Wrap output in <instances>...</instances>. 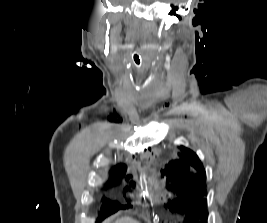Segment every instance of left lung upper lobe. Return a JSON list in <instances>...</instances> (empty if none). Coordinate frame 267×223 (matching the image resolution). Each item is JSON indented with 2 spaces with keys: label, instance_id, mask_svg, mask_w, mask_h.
Returning <instances> with one entry per match:
<instances>
[{
  "label": "left lung upper lobe",
  "instance_id": "5c2ea615",
  "mask_svg": "<svg viewBox=\"0 0 267 223\" xmlns=\"http://www.w3.org/2000/svg\"><path fill=\"white\" fill-rule=\"evenodd\" d=\"M181 148L182 152L161 170L162 175L169 176L171 185L167 184L168 189L177 196L169 206H165L163 214H185L191 219L197 218L196 223L199 220L207 223L205 169L196 153L184 146Z\"/></svg>",
  "mask_w": 267,
  "mask_h": 223
}]
</instances>
